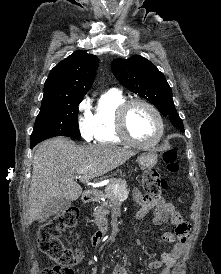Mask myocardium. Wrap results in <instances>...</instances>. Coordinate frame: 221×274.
I'll use <instances>...</instances> for the list:
<instances>
[{
    "label": "myocardium",
    "instance_id": "1",
    "mask_svg": "<svg viewBox=\"0 0 221 274\" xmlns=\"http://www.w3.org/2000/svg\"><path fill=\"white\" fill-rule=\"evenodd\" d=\"M136 104H141L146 106L155 116L157 123H158V133L155 139L152 142L149 143H143L140 141H137L134 139L131 134L129 133L128 126H127V117L130 109L132 106ZM116 126L119 136L128 144L143 148V149H149L154 146H156L160 140L163 137L164 134V121L162 118V115L160 111L157 109V107L149 102L148 100L142 99V98H133L126 100L123 104L120 105L117 111V117H116Z\"/></svg>",
    "mask_w": 221,
    "mask_h": 274
}]
</instances>
